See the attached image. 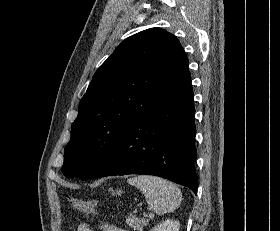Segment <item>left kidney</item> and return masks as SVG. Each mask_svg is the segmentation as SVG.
Masks as SVG:
<instances>
[{
  "mask_svg": "<svg viewBox=\"0 0 280 231\" xmlns=\"http://www.w3.org/2000/svg\"><path fill=\"white\" fill-rule=\"evenodd\" d=\"M180 223L179 221H173V219H166L162 223L155 225L151 231H179Z\"/></svg>",
  "mask_w": 280,
  "mask_h": 231,
  "instance_id": "obj_1",
  "label": "left kidney"
}]
</instances>
